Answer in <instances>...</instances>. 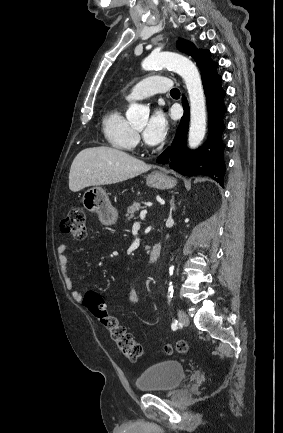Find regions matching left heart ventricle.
I'll return each mask as SVG.
<instances>
[{"label":"left heart ventricle","mask_w":283,"mask_h":433,"mask_svg":"<svg viewBox=\"0 0 283 433\" xmlns=\"http://www.w3.org/2000/svg\"><path fill=\"white\" fill-rule=\"evenodd\" d=\"M145 122H146V121H145ZM145 122H143L142 124L136 126V129H138V130H142V129L144 128V126H145Z\"/></svg>","instance_id":"1"}]
</instances>
